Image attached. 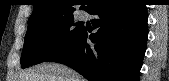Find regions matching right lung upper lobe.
<instances>
[{
	"label": "right lung upper lobe",
	"instance_id": "obj_1",
	"mask_svg": "<svg viewBox=\"0 0 169 81\" xmlns=\"http://www.w3.org/2000/svg\"><path fill=\"white\" fill-rule=\"evenodd\" d=\"M75 2V0H34V8L28 24L48 18L73 15ZM91 7L92 4L89 2L86 7L82 5L80 9L89 11Z\"/></svg>",
	"mask_w": 169,
	"mask_h": 81
}]
</instances>
